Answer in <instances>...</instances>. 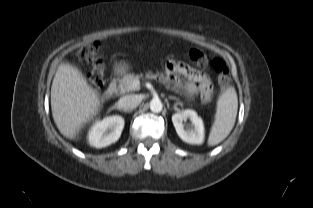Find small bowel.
<instances>
[{"label": "small bowel", "instance_id": "small-bowel-1", "mask_svg": "<svg viewBox=\"0 0 313 208\" xmlns=\"http://www.w3.org/2000/svg\"><path fill=\"white\" fill-rule=\"evenodd\" d=\"M166 72L170 81L178 88L183 89L188 95L200 94L204 100L212 96V84L209 78L202 72L193 69L183 62L170 60L166 64ZM179 75L186 78L185 82L179 79Z\"/></svg>", "mask_w": 313, "mask_h": 208}]
</instances>
